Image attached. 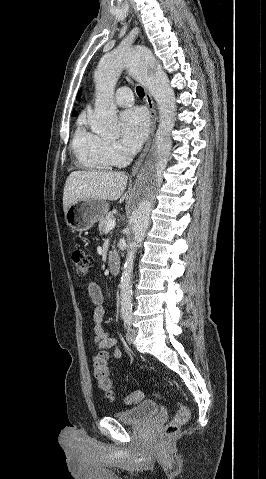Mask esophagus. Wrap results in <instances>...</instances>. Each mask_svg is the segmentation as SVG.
Returning <instances> with one entry per match:
<instances>
[{
	"label": "esophagus",
	"mask_w": 266,
	"mask_h": 479,
	"mask_svg": "<svg viewBox=\"0 0 266 479\" xmlns=\"http://www.w3.org/2000/svg\"><path fill=\"white\" fill-rule=\"evenodd\" d=\"M145 100H146L147 106L149 108L150 118H151L150 135H149L148 141H147L142 153L140 154L137 161L135 162V164L132 167V172H131L132 175H135L139 171V169L141 168V166L144 162V159H145V157H146V155H147V153L150 149V146L152 144L153 136H154L155 129H156V121H157L156 108H155V104L153 102V99H152L150 93L146 89H145Z\"/></svg>",
	"instance_id": "34e87169"
}]
</instances>
